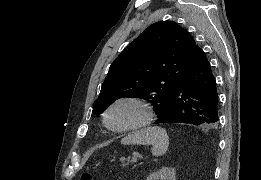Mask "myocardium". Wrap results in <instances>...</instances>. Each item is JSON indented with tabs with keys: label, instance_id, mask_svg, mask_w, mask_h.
Segmentation results:
<instances>
[{
	"label": "myocardium",
	"instance_id": "myocardium-1",
	"mask_svg": "<svg viewBox=\"0 0 261 180\" xmlns=\"http://www.w3.org/2000/svg\"><path fill=\"white\" fill-rule=\"evenodd\" d=\"M132 105L137 109V116L128 124L123 126H114L111 122V114L117 107L121 105ZM152 113L150 104L144 98L135 95H124L113 100L105 109L103 121L108 130L115 134H125L137 131L145 127L150 119Z\"/></svg>",
	"mask_w": 261,
	"mask_h": 180
}]
</instances>
